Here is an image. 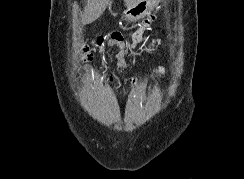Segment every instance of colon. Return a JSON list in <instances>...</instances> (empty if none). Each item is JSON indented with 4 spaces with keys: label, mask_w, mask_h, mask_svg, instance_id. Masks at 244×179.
<instances>
[{
    "label": "colon",
    "mask_w": 244,
    "mask_h": 179,
    "mask_svg": "<svg viewBox=\"0 0 244 179\" xmlns=\"http://www.w3.org/2000/svg\"><path fill=\"white\" fill-rule=\"evenodd\" d=\"M77 50L79 53L83 56V64L85 67H89V61L91 60V53L88 49V46L83 43H78ZM131 84L133 86H136L137 80L133 79L131 80Z\"/></svg>",
    "instance_id": "colon-1"
}]
</instances>
